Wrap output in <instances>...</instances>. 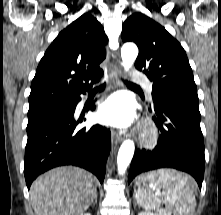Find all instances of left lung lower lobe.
<instances>
[{
	"mask_svg": "<svg viewBox=\"0 0 221 215\" xmlns=\"http://www.w3.org/2000/svg\"><path fill=\"white\" fill-rule=\"evenodd\" d=\"M153 102L150 111L158 118L161 135L152 151H136L128 183L142 172L167 167L191 174L201 189L205 156L198 103L173 94L160 95Z\"/></svg>",
	"mask_w": 221,
	"mask_h": 215,
	"instance_id": "1",
	"label": "left lung lower lobe"
}]
</instances>
